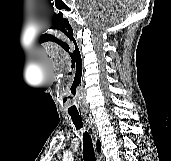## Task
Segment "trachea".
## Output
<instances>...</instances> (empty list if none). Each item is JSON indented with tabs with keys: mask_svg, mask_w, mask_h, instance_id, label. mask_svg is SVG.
I'll return each instance as SVG.
<instances>
[{
	"mask_svg": "<svg viewBox=\"0 0 171 161\" xmlns=\"http://www.w3.org/2000/svg\"><path fill=\"white\" fill-rule=\"evenodd\" d=\"M76 129L83 128L82 118L78 112H69ZM83 156L84 161H96L91 136L87 131L83 133Z\"/></svg>",
	"mask_w": 171,
	"mask_h": 161,
	"instance_id": "trachea-1",
	"label": "trachea"
}]
</instances>
